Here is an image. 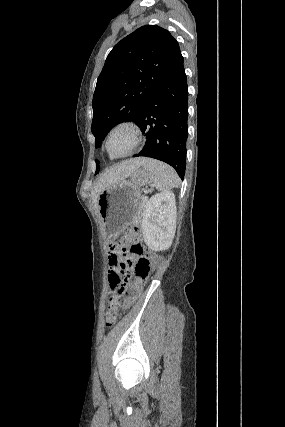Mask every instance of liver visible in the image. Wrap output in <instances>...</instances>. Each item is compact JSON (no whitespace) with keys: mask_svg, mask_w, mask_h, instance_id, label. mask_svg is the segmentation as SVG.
<instances>
[{"mask_svg":"<svg viewBox=\"0 0 285 427\" xmlns=\"http://www.w3.org/2000/svg\"><path fill=\"white\" fill-rule=\"evenodd\" d=\"M145 161V158H134L125 160L110 167L100 175L91 192L93 204L97 211L98 199L100 194L112 184L120 182L129 177L136 169L142 166Z\"/></svg>","mask_w":285,"mask_h":427,"instance_id":"1","label":"liver"}]
</instances>
